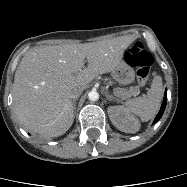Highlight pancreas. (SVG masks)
I'll use <instances>...</instances> for the list:
<instances>
[{
    "instance_id": "1",
    "label": "pancreas",
    "mask_w": 187,
    "mask_h": 187,
    "mask_svg": "<svg viewBox=\"0 0 187 187\" xmlns=\"http://www.w3.org/2000/svg\"><path fill=\"white\" fill-rule=\"evenodd\" d=\"M117 95L123 99H126L130 96H135L139 94L138 87H131L129 91H125L124 89H118L116 91Z\"/></svg>"
}]
</instances>
